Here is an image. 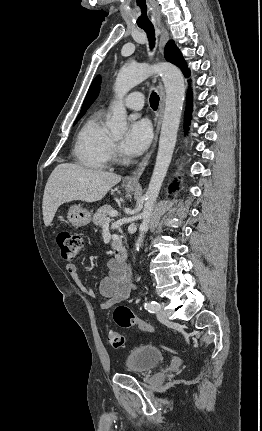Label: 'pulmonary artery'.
<instances>
[{"instance_id":"pulmonary-artery-1","label":"pulmonary artery","mask_w":262,"mask_h":431,"mask_svg":"<svg viewBox=\"0 0 262 431\" xmlns=\"http://www.w3.org/2000/svg\"><path fill=\"white\" fill-rule=\"evenodd\" d=\"M144 100L145 98L143 93L133 92L126 96L123 103L127 108L138 111L143 108Z\"/></svg>"}]
</instances>
